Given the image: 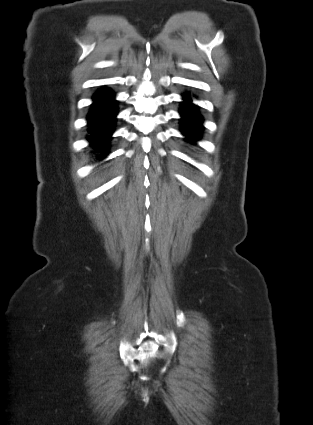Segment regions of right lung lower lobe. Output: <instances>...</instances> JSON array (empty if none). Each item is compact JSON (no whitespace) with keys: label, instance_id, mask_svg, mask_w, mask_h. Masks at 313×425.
Listing matches in <instances>:
<instances>
[{"label":"right lung lower lobe","instance_id":"right-lung-lower-lobe-1","mask_svg":"<svg viewBox=\"0 0 313 425\" xmlns=\"http://www.w3.org/2000/svg\"><path fill=\"white\" fill-rule=\"evenodd\" d=\"M116 103L111 90L99 91L93 97L91 111L87 117L91 134L88 140L100 150L106 147L112 134L117 114Z\"/></svg>","mask_w":313,"mask_h":425}]
</instances>
